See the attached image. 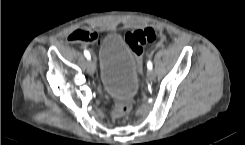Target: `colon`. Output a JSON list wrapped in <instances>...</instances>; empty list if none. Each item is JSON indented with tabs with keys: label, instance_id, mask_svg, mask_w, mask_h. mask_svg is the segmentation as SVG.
Returning a JSON list of instances; mask_svg holds the SVG:
<instances>
[{
	"label": "colon",
	"instance_id": "obj_1",
	"mask_svg": "<svg viewBox=\"0 0 245 145\" xmlns=\"http://www.w3.org/2000/svg\"><path fill=\"white\" fill-rule=\"evenodd\" d=\"M158 31L153 27H146L143 29H134L126 34L125 40L129 44L136 59V68L138 73L143 70V45L147 42H154L158 38ZM95 32L83 28H76L72 30L67 40L72 43L88 44L96 40ZM131 103L127 100H120L116 102L112 116L116 120L124 119L131 111Z\"/></svg>",
	"mask_w": 245,
	"mask_h": 145
}]
</instances>
